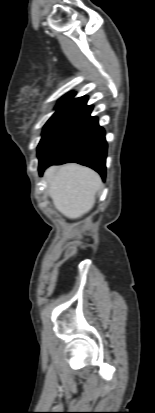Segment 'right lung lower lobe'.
I'll list each match as a JSON object with an SVG mask.
<instances>
[{
    "label": "right lung lower lobe",
    "mask_w": 155,
    "mask_h": 413,
    "mask_svg": "<svg viewBox=\"0 0 155 413\" xmlns=\"http://www.w3.org/2000/svg\"><path fill=\"white\" fill-rule=\"evenodd\" d=\"M93 106L83 103L62 139L50 154L39 163L40 174L50 165L76 162L97 171L103 180L106 174L107 142L105 131L97 117H91Z\"/></svg>",
    "instance_id": "1"
}]
</instances>
